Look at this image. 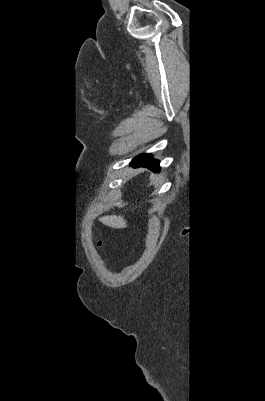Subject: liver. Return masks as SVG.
I'll use <instances>...</instances> for the list:
<instances>
[{
    "label": "liver",
    "mask_w": 265,
    "mask_h": 401,
    "mask_svg": "<svg viewBox=\"0 0 265 401\" xmlns=\"http://www.w3.org/2000/svg\"><path fill=\"white\" fill-rule=\"evenodd\" d=\"M101 223L113 227V229H125L127 227V221H124V217H117V215H108V217H101Z\"/></svg>",
    "instance_id": "liver-1"
}]
</instances>
